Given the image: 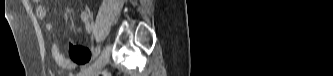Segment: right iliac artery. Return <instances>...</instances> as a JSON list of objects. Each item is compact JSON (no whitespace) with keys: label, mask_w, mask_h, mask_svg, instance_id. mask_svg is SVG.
<instances>
[{"label":"right iliac artery","mask_w":333,"mask_h":76,"mask_svg":"<svg viewBox=\"0 0 333 76\" xmlns=\"http://www.w3.org/2000/svg\"><path fill=\"white\" fill-rule=\"evenodd\" d=\"M99 53H100V46H98V47L95 48L93 58L95 59V58L99 55ZM84 71H85V70H84ZM84 71H82V73H83Z\"/></svg>","instance_id":"1"}]
</instances>
